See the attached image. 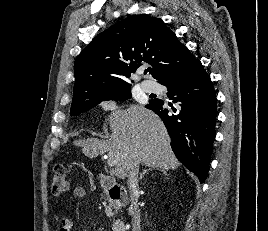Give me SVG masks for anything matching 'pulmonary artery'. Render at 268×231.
I'll use <instances>...</instances> for the list:
<instances>
[{
    "instance_id": "pulmonary-artery-1",
    "label": "pulmonary artery",
    "mask_w": 268,
    "mask_h": 231,
    "mask_svg": "<svg viewBox=\"0 0 268 231\" xmlns=\"http://www.w3.org/2000/svg\"><path fill=\"white\" fill-rule=\"evenodd\" d=\"M141 88L144 92H147V93H152L156 89L155 86L148 81L143 82L141 85Z\"/></svg>"
}]
</instances>
